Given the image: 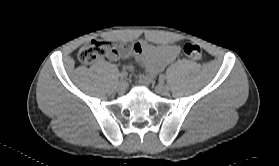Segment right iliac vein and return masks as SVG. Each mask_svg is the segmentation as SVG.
I'll return each mask as SVG.
<instances>
[{
	"mask_svg": "<svg viewBox=\"0 0 279 166\" xmlns=\"http://www.w3.org/2000/svg\"><path fill=\"white\" fill-rule=\"evenodd\" d=\"M126 87H127V83L124 80H120L116 85V89L119 93L124 92Z\"/></svg>",
	"mask_w": 279,
	"mask_h": 166,
	"instance_id": "right-iliac-vein-1",
	"label": "right iliac vein"
}]
</instances>
